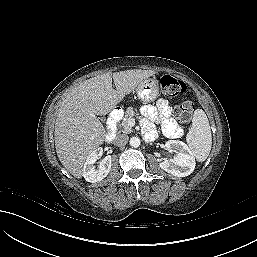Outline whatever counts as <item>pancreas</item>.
<instances>
[{
  "label": "pancreas",
  "mask_w": 257,
  "mask_h": 257,
  "mask_svg": "<svg viewBox=\"0 0 257 257\" xmlns=\"http://www.w3.org/2000/svg\"><path fill=\"white\" fill-rule=\"evenodd\" d=\"M135 115L134 108L128 107L125 112V117L123 118L122 124H121V131L123 133H131L133 131L132 127L129 125V120Z\"/></svg>",
  "instance_id": "pancreas-1"
}]
</instances>
